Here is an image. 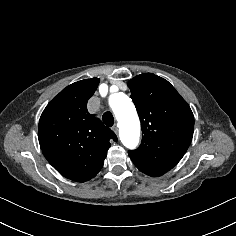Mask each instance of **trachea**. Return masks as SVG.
<instances>
[{
    "label": "trachea",
    "mask_w": 236,
    "mask_h": 236,
    "mask_svg": "<svg viewBox=\"0 0 236 236\" xmlns=\"http://www.w3.org/2000/svg\"><path fill=\"white\" fill-rule=\"evenodd\" d=\"M102 120L106 126H108V127L113 126L114 117L111 112H109V111L105 112L102 116Z\"/></svg>",
    "instance_id": "obj_1"
}]
</instances>
